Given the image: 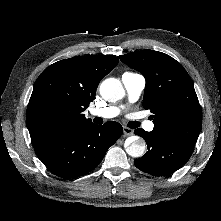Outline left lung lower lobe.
<instances>
[{"mask_svg":"<svg viewBox=\"0 0 221 221\" xmlns=\"http://www.w3.org/2000/svg\"><path fill=\"white\" fill-rule=\"evenodd\" d=\"M136 135L143 137L148 151L134 161L135 166L152 175H168L181 168L193 153L194 146L166 138L139 128Z\"/></svg>","mask_w":221,"mask_h":221,"instance_id":"0a47b994","label":"left lung lower lobe"}]
</instances>
